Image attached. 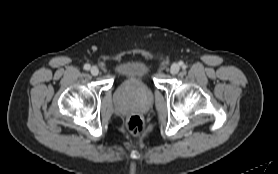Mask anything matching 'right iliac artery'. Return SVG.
<instances>
[{
  "mask_svg": "<svg viewBox=\"0 0 278 174\" xmlns=\"http://www.w3.org/2000/svg\"><path fill=\"white\" fill-rule=\"evenodd\" d=\"M84 69H85V70H89V69H90V64H85V65H84Z\"/></svg>",
  "mask_w": 278,
  "mask_h": 174,
  "instance_id": "obj_1",
  "label": "right iliac artery"
}]
</instances>
